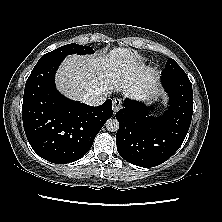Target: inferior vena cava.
Returning a JSON list of instances; mask_svg holds the SVG:
<instances>
[{"instance_id":"1","label":"inferior vena cava","mask_w":222,"mask_h":222,"mask_svg":"<svg viewBox=\"0 0 222 222\" xmlns=\"http://www.w3.org/2000/svg\"><path fill=\"white\" fill-rule=\"evenodd\" d=\"M106 99V92L104 89H99L83 96L82 101L90 106H99Z\"/></svg>"}]
</instances>
